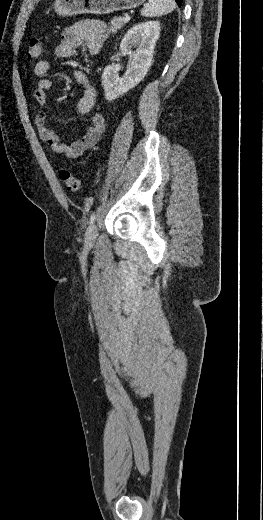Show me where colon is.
<instances>
[{"label": "colon", "instance_id": "colon-1", "mask_svg": "<svg viewBox=\"0 0 263 520\" xmlns=\"http://www.w3.org/2000/svg\"><path fill=\"white\" fill-rule=\"evenodd\" d=\"M43 55L42 42L38 38H32L28 43L27 58L40 59ZM60 180L70 192H79L80 181L66 168H60L58 172Z\"/></svg>", "mask_w": 263, "mask_h": 520}]
</instances>
